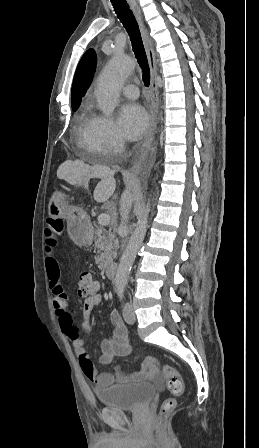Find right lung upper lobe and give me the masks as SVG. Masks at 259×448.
I'll return each mask as SVG.
<instances>
[{"instance_id": "cb5924a9", "label": "right lung upper lobe", "mask_w": 259, "mask_h": 448, "mask_svg": "<svg viewBox=\"0 0 259 448\" xmlns=\"http://www.w3.org/2000/svg\"><path fill=\"white\" fill-rule=\"evenodd\" d=\"M95 69L96 54L93 49H89L82 56L73 79L71 92L72 109L79 107L81 98L86 93L92 81Z\"/></svg>"}]
</instances>
